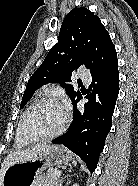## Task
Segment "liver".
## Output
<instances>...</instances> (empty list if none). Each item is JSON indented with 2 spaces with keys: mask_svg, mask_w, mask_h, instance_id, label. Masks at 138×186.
I'll return each instance as SVG.
<instances>
[{
  "mask_svg": "<svg viewBox=\"0 0 138 186\" xmlns=\"http://www.w3.org/2000/svg\"><path fill=\"white\" fill-rule=\"evenodd\" d=\"M47 146L48 145L46 143H42V144L33 145V146L26 148V149H18V150L10 151L9 154L7 155V157L4 159L2 166H1L0 186L2 185L3 175L6 171V169L10 165H12L14 163H18V162H26V161L33 159L40 152L44 151V149Z\"/></svg>",
  "mask_w": 138,
  "mask_h": 186,
  "instance_id": "liver-1",
  "label": "liver"
}]
</instances>
